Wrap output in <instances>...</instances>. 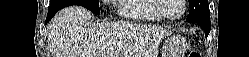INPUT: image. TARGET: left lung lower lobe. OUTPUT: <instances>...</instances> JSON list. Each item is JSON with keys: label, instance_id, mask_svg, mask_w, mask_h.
I'll return each instance as SVG.
<instances>
[{"label": "left lung lower lobe", "instance_id": "obj_1", "mask_svg": "<svg viewBox=\"0 0 249 57\" xmlns=\"http://www.w3.org/2000/svg\"><path fill=\"white\" fill-rule=\"evenodd\" d=\"M194 23H197L202 27V29L205 31V36L207 37L210 32V23L200 22V21Z\"/></svg>", "mask_w": 249, "mask_h": 57}]
</instances>
